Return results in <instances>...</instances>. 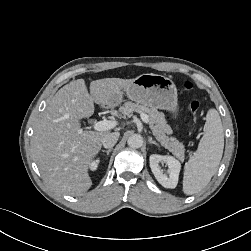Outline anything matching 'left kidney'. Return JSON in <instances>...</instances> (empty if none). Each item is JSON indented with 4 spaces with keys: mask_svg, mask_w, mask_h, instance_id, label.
Wrapping results in <instances>:
<instances>
[{
    "mask_svg": "<svg viewBox=\"0 0 251 251\" xmlns=\"http://www.w3.org/2000/svg\"><path fill=\"white\" fill-rule=\"evenodd\" d=\"M164 162L168 166V175L161 170L159 163ZM150 168L157 181L165 188H175L178 183L181 163L173 156L152 154L149 158Z\"/></svg>",
    "mask_w": 251,
    "mask_h": 251,
    "instance_id": "obj_1",
    "label": "left kidney"
}]
</instances>
